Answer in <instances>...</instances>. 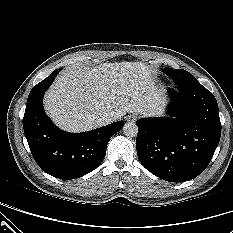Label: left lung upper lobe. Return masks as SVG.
Returning a JSON list of instances; mask_svg holds the SVG:
<instances>
[{
  "label": "left lung upper lobe",
  "mask_w": 233,
  "mask_h": 233,
  "mask_svg": "<svg viewBox=\"0 0 233 233\" xmlns=\"http://www.w3.org/2000/svg\"><path fill=\"white\" fill-rule=\"evenodd\" d=\"M163 72L168 75L171 79L174 80L176 85L183 84L190 81H197V79L190 74L189 72L183 69H171L166 68L163 69Z\"/></svg>",
  "instance_id": "left-lung-upper-lobe-1"
}]
</instances>
